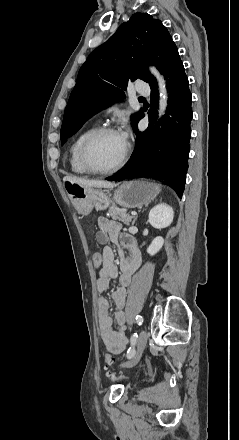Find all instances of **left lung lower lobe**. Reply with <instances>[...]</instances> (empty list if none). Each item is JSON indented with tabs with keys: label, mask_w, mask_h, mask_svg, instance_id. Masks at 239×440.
<instances>
[{
	"label": "left lung lower lobe",
	"mask_w": 239,
	"mask_h": 440,
	"mask_svg": "<svg viewBox=\"0 0 239 440\" xmlns=\"http://www.w3.org/2000/svg\"><path fill=\"white\" fill-rule=\"evenodd\" d=\"M161 73L164 74L169 100L163 122L156 123L158 108V87L155 79L151 87V107L148 111L149 126L138 132L137 124L144 117L141 111L136 124V150L131 161L109 181L126 178L150 177L171 182L179 197H182L188 169L189 141L192 119L191 93L184 66L176 45L171 49Z\"/></svg>",
	"instance_id": "left-lung-lower-lobe-1"
}]
</instances>
